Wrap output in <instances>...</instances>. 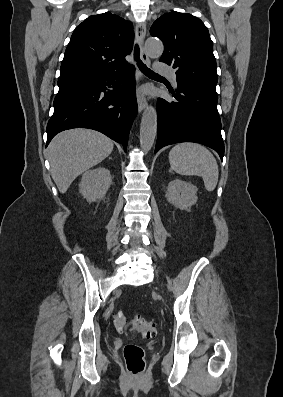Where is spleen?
<instances>
[{
  "mask_svg": "<svg viewBox=\"0 0 283 397\" xmlns=\"http://www.w3.org/2000/svg\"><path fill=\"white\" fill-rule=\"evenodd\" d=\"M171 168L180 175L201 176L207 191L215 189L219 170L213 154L204 146L196 143H180L169 152Z\"/></svg>",
  "mask_w": 283,
  "mask_h": 397,
  "instance_id": "1",
  "label": "spleen"
}]
</instances>
